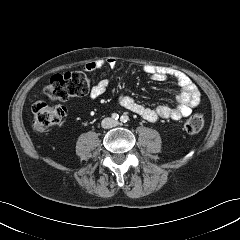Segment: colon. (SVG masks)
<instances>
[{"instance_id": "1", "label": "colon", "mask_w": 240, "mask_h": 240, "mask_svg": "<svg viewBox=\"0 0 240 240\" xmlns=\"http://www.w3.org/2000/svg\"><path fill=\"white\" fill-rule=\"evenodd\" d=\"M90 81L85 73L75 71L57 74L51 77L44 87L45 95L52 101H63L70 97L84 96L89 92ZM33 129L45 132L52 126L59 124L66 116V108L62 105H51L41 101L33 106ZM204 118L196 114L185 123V130L195 134L202 130Z\"/></svg>"}]
</instances>
